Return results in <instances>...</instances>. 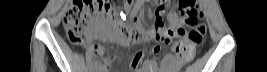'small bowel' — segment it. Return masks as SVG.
<instances>
[{
    "label": "small bowel",
    "mask_w": 267,
    "mask_h": 72,
    "mask_svg": "<svg viewBox=\"0 0 267 72\" xmlns=\"http://www.w3.org/2000/svg\"><path fill=\"white\" fill-rule=\"evenodd\" d=\"M129 6L125 5L124 9L128 10ZM197 17L202 18V12H199ZM170 23V32L172 33L173 38H178L182 35L180 29L182 28V20L176 12H171L168 17ZM108 23L106 20H98L93 27L87 31V35L90 38H100L102 40H116L122 45H127L128 41L119 33L107 29ZM88 48L90 49L92 55L98 58L95 61V66L98 71H107V61L103 58L105 53V48L102 45L89 44ZM144 55V50L139 49L133 57L131 64V71L134 72H173L176 69V58L172 54H167L160 65L154 61H146L143 69H137L139 63L141 62Z\"/></svg>",
    "instance_id": "small-bowel-1"
}]
</instances>
